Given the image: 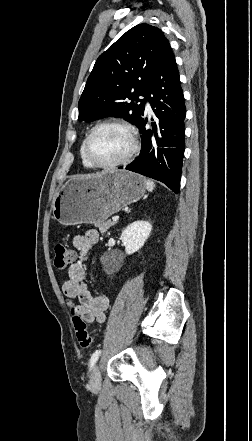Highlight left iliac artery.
Returning a JSON list of instances; mask_svg holds the SVG:
<instances>
[{"instance_id":"left-iliac-artery-1","label":"left iliac artery","mask_w":252,"mask_h":441,"mask_svg":"<svg viewBox=\"0 0 252 441\" xmlns=\"http://www.w3.org/2000/svg\"><path fill=\"white\" fill-rule=\"evenodd\" d=\"M100 353H101V350H96V351L92 354L91 359H90V370L93 368V366H94L95 363L97 362Z\"/></svg>"}]
</instances>
